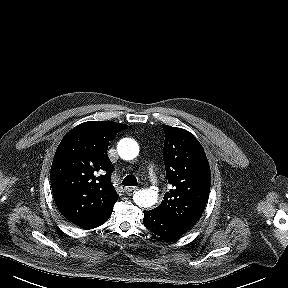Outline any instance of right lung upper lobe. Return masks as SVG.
<instances>
[{
    "mask_svg": "<svg viewBox=\"0 0 288 288\" xmlns=\"http://www.w3.org/2000/svg\"><path fill=\"white\" fill-rule=\"evenodd\" d=\"M127 125L89 121L62 139L51 167V187L62 215L77 224L100 216L118 200L111 183L108 143Z\"/></svg>",
    "mask_w": 288,
    "mask_h": 288,
    "instance_id": "obj_1",
    "label": "right lung upper lobe"
}]
</instances>
